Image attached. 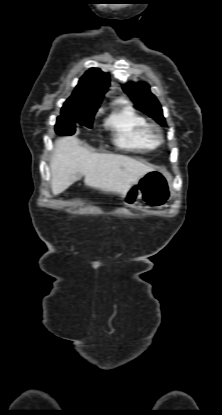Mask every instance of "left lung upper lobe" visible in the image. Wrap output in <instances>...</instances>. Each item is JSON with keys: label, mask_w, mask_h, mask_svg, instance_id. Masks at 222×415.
Instances as JSON below:
<instances>
[{"label": "left lung upper lobe", "mask_w": 222, "mask_h": 415, "mask_svg": "<svg viewBox=\"0 0 222 415\" xmlns=\"http://www.w3.org/2000/svg\"><path fill=\"white\" fill-rule=\"evenodd\" d=\"M123 90L139 110L152 117L159 124L166 125L161 105L157 98L150 92L148 84L127 83L123 86Z\"/></svg>", "instance_id": "obj_1"}]
</instances>
